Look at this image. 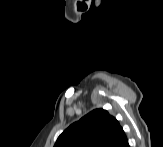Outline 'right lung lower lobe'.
<instances>
[{
    "label": "right lung lower lobe",
    "instance_id": "98d812e1",
    "mask_svg": "<svg viewBox=\"0 0 163 147\" xmlns=\"http://www.w3.org/2000/svg\"><path fill=\"white\" fill-rule=\"evenodd\" d=\"M114 147H129V144H128V140H127L126 135H125L121 140H119V141L114 145Z\"/></svg>",
    "mask_w": 163,
    "mask_h": 147
}]
</instances>
